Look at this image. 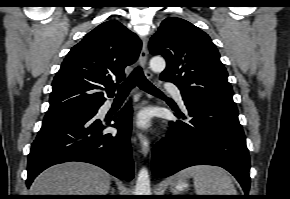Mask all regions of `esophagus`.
<instances>
[{"mask_svg":"<svg viewBox=\"0 0 290 199\" xmlns=\"http://www.w3.org/2000/svg\"><path fill=\"white\" fill-rule=\"evenodd\" d=\"M147 39L144 38L143 39V43H142V50L140 53V62L144 68L145 74L148 78H152V73L150 72V70L147 68V60H148V50H147ZM138 139H139V143L141 146V151L144 155H147L148 152L150 151V142L148 140V138L146 137V135L143 132H138L137 133Z\"/></svg>","mask_w":290,"mask_h":199,"instance_id":"1","label":"esophagus"}]
</instances>
